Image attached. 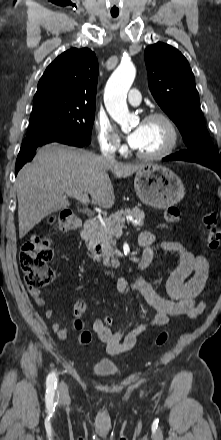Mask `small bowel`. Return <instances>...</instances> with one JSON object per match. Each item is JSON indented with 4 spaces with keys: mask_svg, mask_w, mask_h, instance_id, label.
Instances as JSON below:
<instances>
[{
    "mask_svg": "<svg viewBox=\"0 0 221 440\" xmlns=\"http://www.w3.org/2000/svg\"><path fill=\"white\" fill-rule=\"evenodd\" d=\"M138 243L143 248L140 262L142 260L151 262L155 249L153 234L148 231L142 232ZM160 247L165 251L176 253L180 260L166 284L169 298L161 296L137 273L130 278H119L116 281L117 292L129 300L134 293L138 294L154 310V313L146 322L139 325H135V316L132 314L126 323V329L118 332L107 329L102 319H97L93 323V330L97 339L105 344L106 351L110 355H118L133 348L139 337L150 327H166L173 316L186 315L191 319H196L205 308V303L196 301V299L208 279L207 259L189 252L178 242H162ZM28 293L36 306L46 307V301L40 295L39 289L28 286ZM44 316L46 319H51L53 310L46 308ZM51 329L59 340H65L68 336V329L61 327L57 322L51 325Z\"/></svg>",
    "mask_w": 221,
    "mask_h": 440,
    "instance_id": "obj_1",
    "label": "small bowel"
}]
</instances>
